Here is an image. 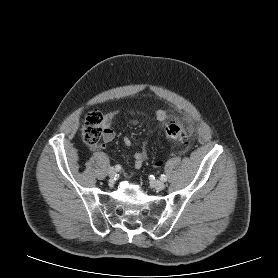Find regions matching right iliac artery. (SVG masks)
<instances>
[{"instance_id": "obj_1", "label": "right iliac artery", "mask_w": 278, "mask_h": 278, "mask_svg": "<svg viewBox=\"0 0 278 278\" xmlns=\"http://www.w3.org/2000/svg\"><path fill=\"white\" fill-rule=\"evenodd\" d=\"M115 169H116V171H120L121 170V166L120 165H116Z\"/></svg>"}]
</instances>
